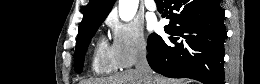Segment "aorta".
Masks as SVG:
<instances>
[{
	"label": "aorta",
	"mask_w": 260,
	"mask_h": 84,
	"mask_svg": "<svg viewBox=\"0 0 260 84\" xmlns=\"http://www.w3.org/2000/svg\"><path fill=\"white\" fill-rule=\"evenodd\" d=\"M138 0H119V16L121 20L128 22L137 12Z\"/></svg>",
	"instance_id": "762f6f07"
}]
</instances>
